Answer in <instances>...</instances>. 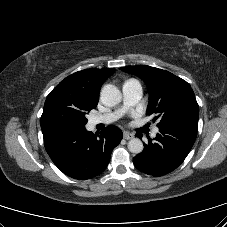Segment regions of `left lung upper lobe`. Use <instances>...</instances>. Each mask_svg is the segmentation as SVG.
<instances>
[{
  "label": "left lung upper lobe",
  "mask_w": 227,
  "mask_h": 227,
  "mask_svg": "<svg viewBox=\"0 0 227 227\" xmlns=\"http://www.w3.org/2000/svg\"><path fill=\"white\" fill-rule=\"evenodd\" d=\"M140 77L149 90L147 114L158 128H182L197 133L199 106L190 85L174 74L146 65L120 68Z\"/></svg>",
  "instance_id": "obj_1"
}]
</instances>
